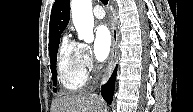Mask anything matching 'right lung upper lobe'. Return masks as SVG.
<instances>
[{
	"label": "right lung upper lobe",
	"instance_id": "1",
	"mask_svg": "<svg viewBox=\"0 0 193 112\" xmlns=\"http://www.w3.org/2000/svg\"><path fill=\"white\" fill-rule=\"evenodd\" d=\"M70 19V1L55 0L50 17L49 47L61 35Z\"/></svg>",
	"mask_w": 193,
	"mask_h": 112
}]
</instances>
